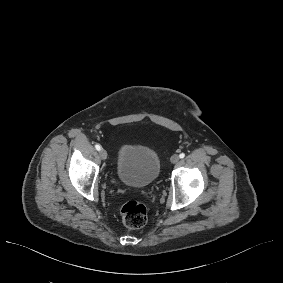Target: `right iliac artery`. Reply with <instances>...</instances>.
Masks as SVG:
<instances>
[{"mask_svg":"<svg viewBox=\"0 0 283 283\" xmlns=\"http://www.w3.org/2000/svg\"><path fill=\"white\" fill-rule=\"evenodd\" d=\"M95 149H96L97 151H99V150L101 149V146H100L99 144H96V145H95Z\"/></svg>","mask_w":283,"mask_h":283,"instance_id":"right-iliac-artery-1","label":"right iliac artery"}]
</instances>
